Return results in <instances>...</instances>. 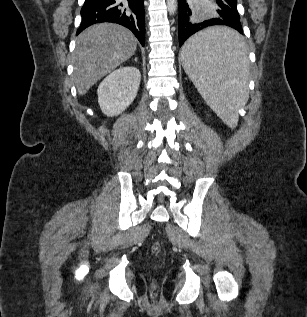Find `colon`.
I'll return each mask as SVG.
<instances>
[{
    "instance_id": "5ec220e1",
    "label": "colon",
    "mask_w": 307,
    "mask_h": 317,
    "mask_svg": "<svg viewBox=\"0 0 307 317\" xmlns=\"http://www.w3.org/2000/svg\"><path fill=\"white\" fill-rule=\"evenodd\" d=\"M161 251V244L156 242L152 245V252L157 255ZM152 294L156 295L157 294V285L153 284L152 285Z\"/></svg>"
}]
</instances>
